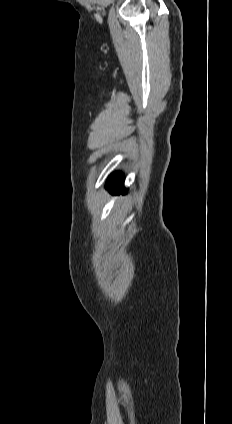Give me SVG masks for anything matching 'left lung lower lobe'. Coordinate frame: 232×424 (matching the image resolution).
I'll return each mask as SVG.
<instances>
[{
  "mask_svg": "<svg viewBox=\"0 0 232 424\" xmlns=\"http://www.w3.org/2000/svg\"><path fill=\"white\" fill-rule=\"evenodd\" d=\"M124 184V177L120 173H115L110 176L106 183V188L112 193V194H119V193H126V189L123 186Z\"/></svg>",
  "mask_w": 232,
  "mask_h": 424,
  "instance_id": "1",
  "label": "left lung lower lobe"
}]
</instances>
